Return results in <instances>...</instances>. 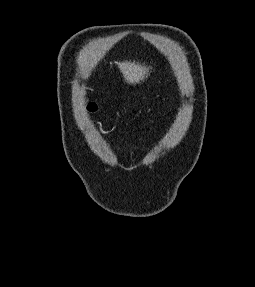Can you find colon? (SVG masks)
I'll return each mask as SVG.
<instances>
[{
  "instance_id": "1",
  "label": "colon",
  "mask_w": 255,
  "mask_h": 287,
  "mask_svg": "<svg viewBox=\"0 0 255 287\" xmlns=\"http://www.w3.org/2000/svg\"><path fill=\"white\" fill-rule=\"evenodd\" d=\"M88 108H89V110L94 111L96 109V105L94 103L90 102L88 104Z\"/></svg>"
}]
</instances>
